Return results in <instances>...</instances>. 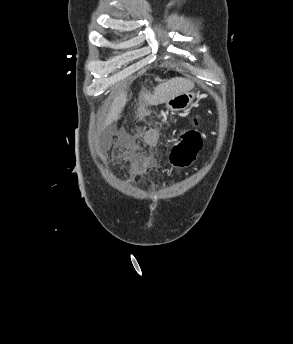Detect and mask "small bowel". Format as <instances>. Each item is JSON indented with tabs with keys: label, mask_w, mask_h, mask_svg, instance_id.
I'll use <instances>...</instances> for the list:
<instances>
[{
	"label": "small bowel",
	"mask_w": 293,
	"mask_h": 344,
	"mask_svg": "<svg viewBox=\"0 0 293 344\" xmlns=\"http://www.w3.org/2000/svg\"><path fill=\"white\" fill-rule=\"evenodd\" d=\"M159 141V136L156 130L148 129L145 130L140 135L130 136L125 142L124 146L128 150H135L141 146L146 148H154L157 146Z\"/></svg>",
	"instance_id": "1"
}]
</instances>
